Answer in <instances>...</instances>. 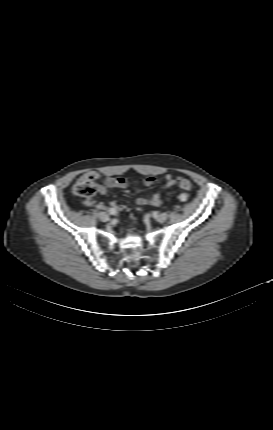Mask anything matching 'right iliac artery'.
Here are the masks:
<instances>
[{"label": "right iliac artery", "instance_id": "82829eb1", "mask_svg": "<svg viewBox=\"0 0 273 430\" xmlns=\"http://www.w3.org/2000/svg\"><path fill=\"white\" fill-rule=\"evenodd\" d=\"M108 212H109L111 215H115V214L117 213V211H116V209H115V208H108Z\"/></svg>", "mask_w": 273, "mask_h": 430}]
</instances>
